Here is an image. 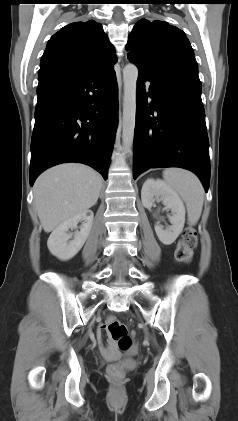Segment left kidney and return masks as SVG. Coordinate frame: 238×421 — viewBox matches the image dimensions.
Masks as SVG:
<instances>
[{"instance_id": "obj_1", "label": "left kidney", "mask_w": 238, "mask_h": 421, "mask_svg": "<svg viewBox=\"0 0 238 421\" xmlns=\"http://www.w3.org/2000/svg\"><path fill=\"white\" fill-rule=\"evenodd\" d=\"M141 200L145 208H151L156 200L171 210L169 220L171 226L163 229L158 224L155 231L164 245H171L183 230L185 223V207L179 196L161 180L148 179L142 186Z\"/></svg>"}]
</instances>
